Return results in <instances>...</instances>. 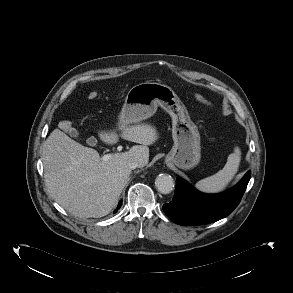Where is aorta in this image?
Masks as SVG:
<instances>
[{
	"label": "aorta",
	"mask_w": 293,
	"mask_h": 293,
	"mask_svg": "<svg viewBox=\"0 0 293 293\" xmlns=\"http://www.w3.org/2000/svg\"><path fill=\"white\" fill-rule=\"evenodd\" d=\"M155 187L162 194H169L174 188L173 178L168 174H160L155 179Z\"/></svg>",
	"instance_id": "obj_1"
}]
</instances>
